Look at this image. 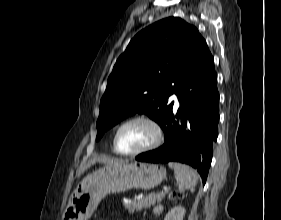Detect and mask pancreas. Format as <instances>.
Segmentation results:
<instances>
[{
  "label": "pancreas",
  "instance_id": "1",
  "mask_svg": "<svg viewBox=\"0 0 281 220\" xmlns=\"http://www.w3.org/2000/svg\"><path fill=\"white\" fill-rule=\"evenodd\" d=\"M165 194L166 192L150 193L132 202L123 201V205L130 213L141 211L144 208H149L151 205H155L156 202H160L165 197Z\"/></svg>",
  "mask_w": 281,
  "mask_h": 220
}]
</instances>
